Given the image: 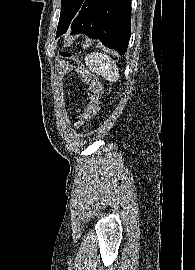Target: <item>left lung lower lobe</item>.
Returning a JSON list of instances; mask_svg holds the SVG:
<instances>
[{"instance_id": "obj_1", "label": "left lung lower lobe", "mask_w": 195, "mask_h": 270, "mask_svg": "<svg viewBox=\"0 0 195 270\" xmlns=\"http://www.w3.org/2000/svg\"><path fill=\"white\" fill-rule=\"evenodd\" d=\"M131 0H85L71 24V35L85 34L99 39L119 54L127 51L131 37Z\"/></svg>"}]
</instances>
